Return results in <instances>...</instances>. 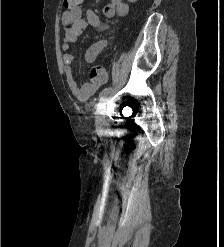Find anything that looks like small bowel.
<instances>
[{
	"label": "small bowel",
	"mask_w": 224,
	"mask_h": 247,
	"mask_svg": "<svg viewBox=\"0 0 224 247\" xmlns=\"http://www.w3.org/2000/svg\"><path fill=\"white\" fill-rule=\"evenodd\" d=\"M129 7L123 0H109L103 8L104 15L112 18L115 15L124 17L128 14ZM84 14V16H83ZM61 22L64 27V38L62 41V50L64 53L63 72L66 76L67 85L71 93L79 100H87L99 88L98 82H86L81 86L78 85L72 70L73 55L67 51L70 45L76 41L77 37L88 27L92 26L98 30H105L107 24L103 23L98 15L91 9H83L77 6L71 10L63 12ZM107 40L105 38L99 39L91 45L84 54V59L87 63H92L96 60L102 50L106 47Z\"/></svg>",
	"instance_id": "obj_1"
}]
</instances>
